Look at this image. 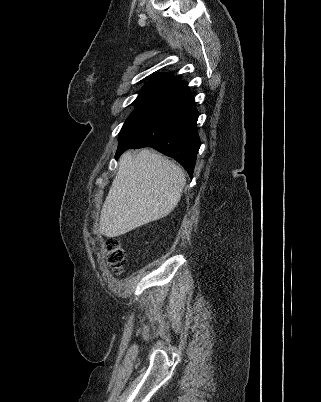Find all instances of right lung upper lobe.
I'll return each instance as SVG.
<instances>
[{
	"mask_svg": "<svg viewBox=\"0 0 321 402\" xmlns=\"http://www.w3.org/2000/svg\"><path fill=\"white\" fill-rule=\"evenodd\" d=\"M181 83H183L181 80L175 78L168 73H159L152 76L151 79L146 83V85L158 84L175 88Z\"/></svg>",
	"mask_w": 321,
	"mask_h": 402,
	"instance_id": "obj_1",
	"label": "right lung upper lobe"
}]
</instances>
